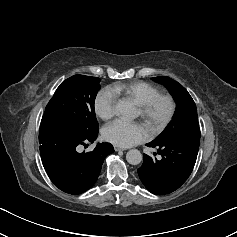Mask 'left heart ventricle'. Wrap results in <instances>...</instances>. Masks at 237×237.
Here are the masks:
<instances>
[{
    "mask_svg": "<svg viewBox=\"0 0 237 237\" xmlns=\"http://www.w3.org/2000/svg\"><path fill=\"white\" fill-rule=\"evenodd\" d=\"M168 110V105L166 102L162 101L158 104V106L156 107V110H155V116L156 118H161L163 117L166 112ZM139 113V111H138Z\"/></svg>",
    "mask_w": 237,
    "mask_h": 237,
    "instance_id": "b2bd125f",
    "label": "left heart ventricle"
}]
</instances>
